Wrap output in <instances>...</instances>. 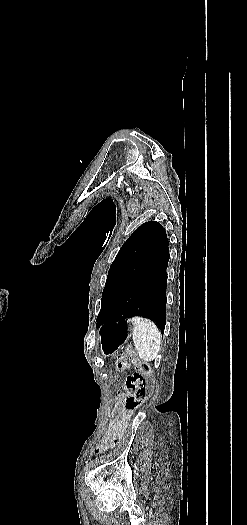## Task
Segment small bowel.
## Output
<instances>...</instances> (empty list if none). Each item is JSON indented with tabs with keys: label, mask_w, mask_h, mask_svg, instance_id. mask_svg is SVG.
<instances>
[{
	"label": "small bowel",
	"mask_w": 247,
	"mask_h": 525,
	"mask_svg": "<svg viewBox=\"0 0 247 525\" xmlns=\"http://www.w3.org/2000/svg\"><path fill=\"white\" fill-rule=\"evenodd\" d=\"M130 388L126 386V383L122 390L119 393V402L114 410L115 417L111 421L108 431L103 436L102 440L97 444L96 451L97 452H103L106 448V441L110 439H116V437L120 434L121 429L128 417V412L125 411V409H122L120 406V400L124 395L129 394Z\"/></svg>",
	"instance_id": "1"
}]
</instances>
